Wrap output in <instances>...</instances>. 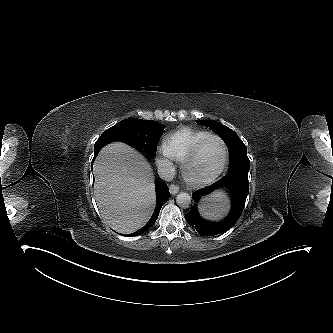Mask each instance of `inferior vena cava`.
<instances>
[{"label": "inferior vena cava", "mask_w": 333, "mask_h": 333, "mask_svg": "<svg viewBox=\"0 0 333 333\" xmlns=\"http://www.w3.org/2000/svg\"><path fill=\"white\" fill-rule=\"evenodd\" d=\"M158 175L165 181H171L175 176V167L168 159H162L158 164Z\"/></svg>", "instance_id": "602c4592"}]
</instances>
